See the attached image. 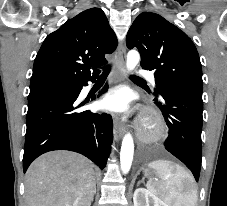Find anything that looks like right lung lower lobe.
Here are the masks:
<instances>
[{
	"mask_svg": "<svg viewBox=\"0 0 227 206\" xmlns=\"http://www.w3.org/2000/svg\"><path fill=\"white\" fill-rule=\"evenodd\" d=\"M87 82L78 83L79 89L72 94L44 95L29 100L24 172L41 154L61 149L81 153L101 169L106 166L113 139L112 119L106 113L79 110L83 103L78 104L77 98Z\"/></svg>",
	"mask_w": 227,
	"mask_h": 206,
	"instance_id": "98d812e1",
	"label": "right lung lower lobe"
}]
</instances>
